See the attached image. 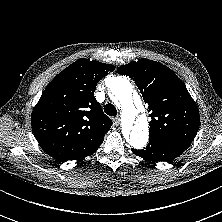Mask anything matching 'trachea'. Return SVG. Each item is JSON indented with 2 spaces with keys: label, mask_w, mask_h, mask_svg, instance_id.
I'll list each match as a JSON object with an SVG mask.
<instances>
[{
  "label": "trachea",
  "mask_w": 222,
  "mask_h": 222,
  "mask_svg": "<svg viewBox=\"0 0 222 222\" xmlns=\"http://www.w3.org/2000/svg\"><path fill=\"white\" fill-rule=\"evenodd\" d=\"M104 112L109 116H116L117 115V110H116L115 106L110 103L105 105Z\"/></svg>",
  "instance_id": "1"
}]
</instances>
